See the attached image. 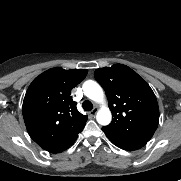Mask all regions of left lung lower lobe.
<instances>
[{
  "instance_id": "1",
  "label": "left lung lower lobe",
  "mask_w": 181,
  "mask_h": 181,
  "mask_svg": "<svg viewBox=\"0 0 181 181\" xmlns=\"http://www.w3.org/2000/svg\"><path fill=\"white\" fill-rule=\"evenodd\" d=\"M117 147L124 149V150H128V151H133V150H137L140 149L141 145H136V144H126V145H120V144H116L114 143Z\"/></svg>"
}]
</instances>
